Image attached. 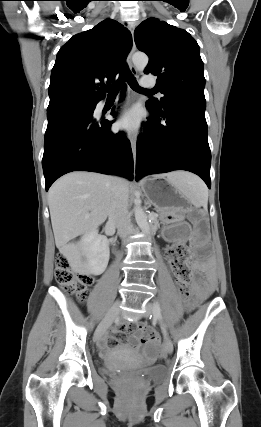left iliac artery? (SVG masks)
<instances>
[{
	"instance_id": "44dca946",
	"label": "left iliac artery",
	"mask_w": 261,
	"mask_h": 427,
	"mask_svg": "<svg viewBox=\"0 0 261 427\" xmlns=\"http://www.w3.org/2000/svg\"><path fill=\"white\" fill-rule=\"evenodd\" d=\"M153 313H154V316L160 321V323H161V325H162V328H163V330H164V332H166L165 331V325H164V323H163V317H162V314H161V309H160V305H159V303L156 301V302H154V305H153ZM150 318H151V316H150Z\"/></svg>"
}]
</instances>
